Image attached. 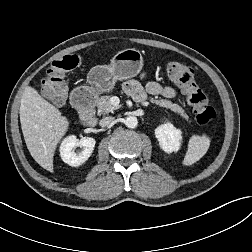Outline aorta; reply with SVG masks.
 I'll return each instance as SVG.
<instances>
[{
	"mask_svg": "<svg viewBox=\"0 0 252 252\" xmlns=\"http://www.w3.org/2000/svg\"><path fill=\"white\" fill-rule=\"evenodd\" d=\"M125 125L128 128H136L138 125V120L135 116H128L125 119Z\"/></svg>",
	"mask_w": 252,
	"mask_h": 252,
	"instance_id": "762f6f07",
	"label": "aorta"
}]
</instances>
